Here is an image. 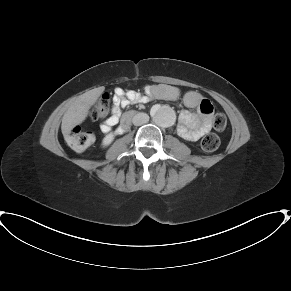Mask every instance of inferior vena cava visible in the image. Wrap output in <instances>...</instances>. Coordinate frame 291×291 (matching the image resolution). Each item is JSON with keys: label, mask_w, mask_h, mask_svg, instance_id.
Listing matches in <instances>:
<instances>
[{"label": "inferior vena cava", "mask_w": 291, "mask_h": 291, "mask_svg": "<svg viewBox=\"0 0 291 291\" xmlns=\"http://www.w3.org/2000/svg\"><path fill=\"white\" fill-rule=\"evenodd\" d=\"M148 121L149 116L146 113H138L132 119V122L135 126H141L143 124H146Z\"/></svg>", "instance_id": "obj_1"}]
</instances>
